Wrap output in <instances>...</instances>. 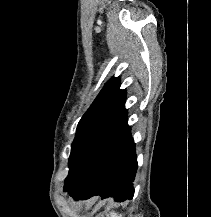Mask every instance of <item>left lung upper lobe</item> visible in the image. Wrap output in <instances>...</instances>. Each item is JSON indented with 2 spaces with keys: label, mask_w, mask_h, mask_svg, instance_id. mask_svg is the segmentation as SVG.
<instances>
[{
  "label": "left lung upper lobe",
  "mask_w": 211,
  "mask_h": 217,
  "mask_svg": "<svg viewBox=\"0 0 211 217\" xmlns=\"http://www.w3.org/2000/svg\"><path fill=\"white\" fill-rule=\"evenodd\" d=\"M125 100L119 77L110 79L78 124L65 185L76 179L99 149L127 125Z\"/></svg>",
  "instance_id": "1"
}]
</instances>
